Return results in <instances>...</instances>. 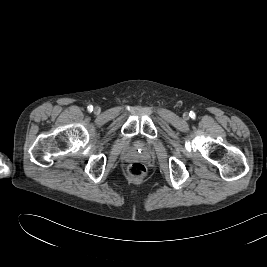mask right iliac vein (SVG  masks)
I'll list each match as a JSON object with an SVG mask.
<instances>
[{
	"mask_svg": "<svg viewBox=\"0 0 267 267\" xmlns=\"http://www.w3.org/2000/svg\"><path fill=\"white\" fill-rule=\"evenodd\" d=\"M94 112H95V113H99V112H100V107H99V106H96V107L94 108Z\"/></svg>",
	"mask_w": 267,
	"mask_h": 267,
	"instance_id": "63e3f726",
	"label": "right iliac vein"
}]
</instances>
